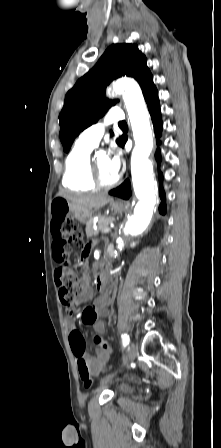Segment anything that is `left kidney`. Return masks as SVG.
I'll return each instance as SVG.
<instances>
[{"mask_svg": "<svg viewBox=\"0 0 221 448\" xmlns=\"http://www.w3.org/2000/svg\"><path fill=\"white\" fill-rule=\"evenodd\" d=\"M132 246L134 247V246H135V243H133Z\"/></svg>", "mask_w": 221, "mask_h": 448, "instance_id": "left-kidney-1", "label": "left kidney"}]
</instances>
